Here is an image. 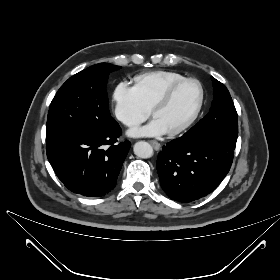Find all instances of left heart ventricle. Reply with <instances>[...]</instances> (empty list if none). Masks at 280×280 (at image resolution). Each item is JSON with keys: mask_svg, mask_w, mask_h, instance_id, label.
I'll list each match as a JSON object with an SVG mask.
<instances>
[{"mask_svg": "<svg viewBox=\"0 0 280 280\" xmlns=\"http://www.w3.org/2000/svg\"><path fill=\"white\" fill-rule=\"evenodd\" d=\"M199 98V88L195 83L178 87L169 102L155 112L157 120L165 131L181 126L193 113Z\"/></svg>", "mask_w": 280, "mask_h": 280, "instance_id": "obj_1", "label": "left heart ventricle"}]
</instances>
